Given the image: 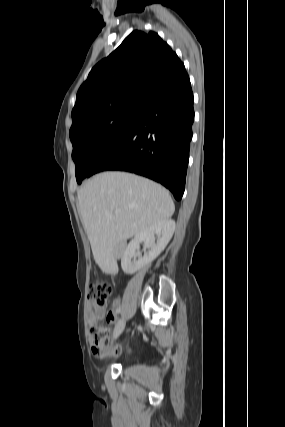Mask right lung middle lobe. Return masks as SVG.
<instances>
[{
  "instance_id": "dd1d6c3e",
  "label": "right lung middle lobe",
  "mask_w": 285,
  "mask_h": 427,
  "mask_svg": "<svg viewBox=\"0 0 285 427\" xmlns=\"http://www.w3.org/2000/svg\"><path fill=\"white\" fill-rule=\"evenodd\" d=\"M143 105H131L82 125L70 134L76 180L91 170L124 138L141 114Z\"/></svg>"
}]
</instances>
